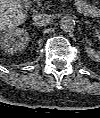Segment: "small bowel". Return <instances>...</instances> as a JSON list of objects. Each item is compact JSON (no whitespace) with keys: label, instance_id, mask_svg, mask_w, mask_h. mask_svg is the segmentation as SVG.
Returning a JSON list of instances; mask_svg holds the SVG:
<instances>
[{"label":"small bowel","instance_id":"obj_1","mask_svg":"<svg viewBox=\"0 0 100 118\" xmlns=\"http://www.w3.org/2000/svg\"><path fill=\"white\" fill-rule=\"evenodd\" d=\"M75 5L77 9L82 13H85L88 15H94L95 13V6L89 4L85 0H76Z\"/></svg>","mask_w":100,"mask_h":118}]
</instances>
